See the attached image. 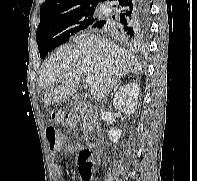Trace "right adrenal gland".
Here are the masks:
<instances>
[{
    "instance_id": "2a0ac1e0",
    "label": "right adrenal gland",
    "mask_w": 197,
    "mask_h": 181,
    "mask_svg": "<svg viewBox=\"0 0 197 181\" xmlns=\"http://www.w3.org/2000/svg\"><path fill=\"white\" fill-rule=\"evenodd\" d=\"M120 84H121V83H119L117 86H115V88H114V93L116 92V90L118 89V87H119ZM112 95H113V93H112Z\"/></svg>"
}]
</instances>
